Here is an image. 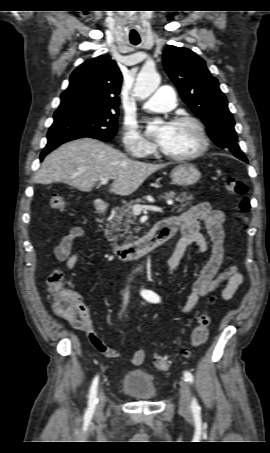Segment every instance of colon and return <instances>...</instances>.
I'll return each mask as SVG.
<instances>
[{"mask_svg": "<svg viewBox=\"0 0 270 453\" xmlns=\"http://www.w3.org/2000/svg\"><path fill=\"white\" fill-rule=\"evenodd\" d=\"M225 188L231 194L238 196V211L240 230L247 228L248 217L250 210V200L247 198V185L239 178H228L225 181ZM50 206L57 211L66 209V201L62 196L53 195L50 198ZM65 276L61 269L53 268L48 272L46 278L47 290L52 297V308L55 313L65 316L74 317L78 314L79 300L74 293L67 291L64 287ZM216 298H212L215 302ZM211 317L208 312L202 313L197 319V325L191 333L190 343L192 347H198L207 341L209 334V325ZM154 366L159 370H168L171 367L170 360L163 355H156L154 358Z\"/></svg>", "mask_w": 270, "mask_h": 453, "instance_id": "obj_1", "label": "colon"}]
</instances>
